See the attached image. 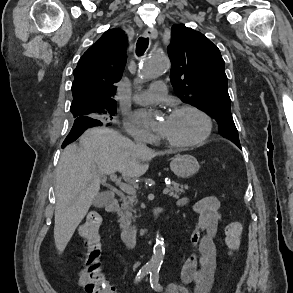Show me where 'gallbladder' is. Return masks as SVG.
I'll list each match as a JSON object with an SVG mask.
<instances>
[{"instance_id":"obj_1","label":"gallbladder","mask_w":293,"mask_h":293,"mask_svg":"<svg viewBox=\"0 0 293 293\" xmlns=\"http://www.w3.org/2000/svg\"><path fill=\"white\" fill-rule=\"evenodd\" d=\"M109 201V196L107 195V193L102 192L99 193L93 200V205L96 208H102L104 207Z\"/></svg>"}]
</instances>
